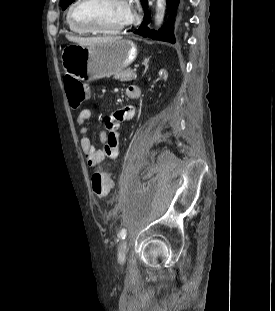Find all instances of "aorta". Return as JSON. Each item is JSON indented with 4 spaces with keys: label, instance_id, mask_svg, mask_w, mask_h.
I'll return each instance as SVG.
<instances>
[{
    "label": "aorta",
    "instance_id": "aorta-1",
    "mask_svg": "<svg viewBox=\"0 0 275 311\" xmlns=\"http://www.w3.org/2000/svg\"><path fill=\"white\" fill-rule=\"evenodd\" d=\"M165 0H157L156 4V14H155V24L160 26L164 19L165 14Z\"/></svg>",
    "mask_w": 275,
    "mask_h": 311
}]
</instances>
